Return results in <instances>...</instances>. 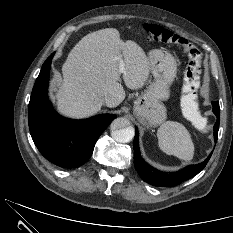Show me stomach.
Returning <instances> with one entry per match:
<instances>
[{"mask_svg": "<svg viewBox=\"0 0 233 233\" xmlns=\"http://www.w3.org/2000/svg\"><path fill=\"white\" fill-rule=\"evenodd\" d=\"M150 70L154 77L145 92L134 102V114L143 125L151 127L162 124L166 118L164 100L170 96V86L177 73L173 55L163 50L149 52Z\"/></svg>", "mask_w": 233, "mask_h": 233, "instance_id": "1", "label": "stomach"}]
</instances>
